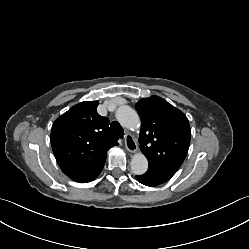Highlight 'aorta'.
<instances>
[{"instance_id": "762f6f07", "label": "aorta", "mask_w": 249, "mask_h": 249, "mask_svg": "<svg viewBox=\"0 0 249 249\" xmlns=\"http://www.w3.org/2000/svg\"><path fill=\"white\" fill-rule=\"evenodd\" d=\"M117 121L124 127L135 130L140 126L137 112L130 106H120L116 111ZM131 170L136 175H143L148 170V160L142 153H136L131 159Z\"/></svg>"}]
</instances>
